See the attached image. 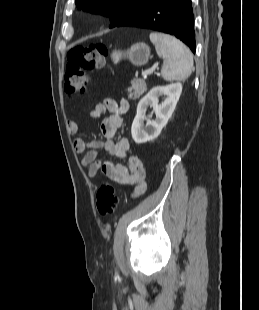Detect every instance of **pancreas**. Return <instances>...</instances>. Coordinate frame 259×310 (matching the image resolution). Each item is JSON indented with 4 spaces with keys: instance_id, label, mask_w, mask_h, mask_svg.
Returning <instances> with one entry per match:
<instances>
[{
    "instance_id": "cf45deb5",
    "label": "pancreas",
    "mask_w": 259,
    "mask_h": 310,
    "mask_svg": "<svg viewBox=\"0 0 259 310\" xmlns=\"http://www.w3.org/2000/svg\"><path fill=\"white\" fill-rule=\"evenodd\" d=\"M147 90V85L144 80L134 79L131 82V87L128 88V98L132 100L138 99Z\"/></svg>"
}]
</instances>
